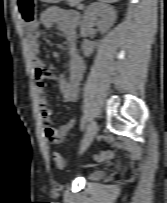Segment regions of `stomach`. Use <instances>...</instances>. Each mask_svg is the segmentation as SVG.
I'll use <instances>...</instances> for the list:
<instances>
[{"instance_id":"obj_1","label":"stomach","mask_w":167,"mask_h":203,"mask_svg":"<svg viewBox=\"0 0 167 203\" xmlns=\"http://www.w3.org/2000/svg\"><path fill=\"white\" fill-rule=\"evenodd\" d=\"M41 2H46V3H51V4H56L59 3L63 0H40Z\"/></svg>"}]
</instances>
